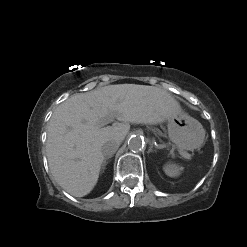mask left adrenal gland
I'll return each mask as SVG.
<instances>
[{"label":"left adrenal gland","mask_w":247,"mask_h":247,"mask_svg":"<svg viewBox=\"0 0 247 247\" xmlns=\"http://www.w3.org/2000/svg\"><path fill=\"white\" fill-rule=\"evenodd\" d=\"M154 150H153V145L151 144L150 145V148H149V150H148V152H153Z\"/></svg>","instance_id":"left-adrenal-gland-1"}]
</instances>
